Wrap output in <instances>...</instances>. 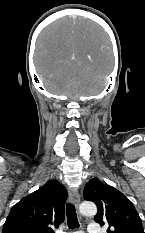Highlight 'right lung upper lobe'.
<instances>
[{
    "label": "right lung upper lobe",
    "mask_w": 145,
    "mask_h": 233,
    "mask_svg": "<svg viewBox=\"0 0 145 233\" xmlns=\"http://www.w3.org/2000/svg\"><path fill=\"white\" fill-rule=\"evenodd\" d=\"M66 188L50 180L14 205L2 233H54L65 219Z\"/></svg>",
    "instance_id": "1"
}]
</instances>
